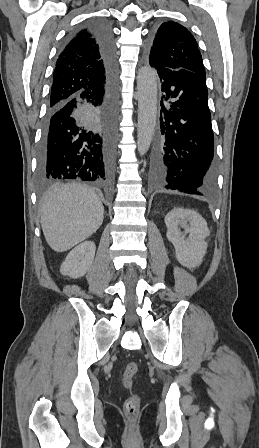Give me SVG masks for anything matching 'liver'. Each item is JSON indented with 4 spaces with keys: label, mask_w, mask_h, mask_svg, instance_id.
<instances>
[{
    "label": "liver",
    "mask_w": 259,
    "mask_h": 448,
    "mask_svg": "<svg viewBox=\"0 0 259 448\" xmlns=\"http://www.w3.org/2000/svg\"><path fill=\"white\" fill-rule=\"evenodd\" d=\"M43 234L52 250L66 252L100 228L104 206L92 188L63 184L46 194L41 206Z\"/></svg>",
    "instance_id": "1"
}]
</instances>
